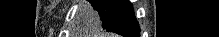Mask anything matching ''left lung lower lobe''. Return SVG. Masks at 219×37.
I'll list each match as a JSON object with an SVG mask.
<instances>
[{"label": "left lung lower lobe", "mask_w": 219, "mask_h": 37, "mask_svg": "<svg viewBox=\"0 0 219 37\" xmlns=\"http://www.w3.org/2000/svg\"><path fill=\"white\" fill-rule=\"evenodd\" d=\"M106 31L115 32L124 37H139V24L134 16L132 5L128 0L122 3L115 19Z\"/></svg>", "instance_id": "1"}]
</instances>
